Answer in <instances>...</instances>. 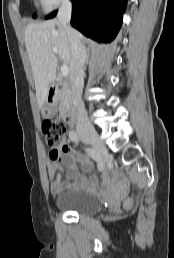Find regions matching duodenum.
Returning a JSON list of instances; mask_svg holds the SVG:
<instances>
[{
  "label": "duodenum",
  "instance_id": "1",
  "mask_svg": "<svg viewBox=\"0 0 174 258\" xmlns=\"http://www.w3.org/2000/svg\"><path fill=\"white\" fill-rule=\"evenodd\" d=\"M67 85H55L49 90V99L52 104L58 102V100L65 95ZM64 118L67 123L73 124L76 121V109L74 106L69 105L64 111Z\"/></svg>",
  "mask_w": 174,
  "mask_h": 258
}]
</instances>
